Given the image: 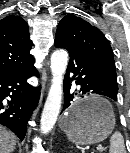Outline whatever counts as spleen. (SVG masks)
Segmentation results:
<instances>
[{
    "mask_svg": "<svg viewBox=\"0 0 130 153\" xmlns=\"http://www.w3.org/2000/svg\"><path fill=\"white\" fill-rule=\"evenodd\" d=\"M110 153H126L123 136L116 131L110 138Z\"/></svg>",
    "mask_w": 130,
    "mask_h": 153,
    "instance_id": "1",
    "label": "spleen"
}]
</instances>
